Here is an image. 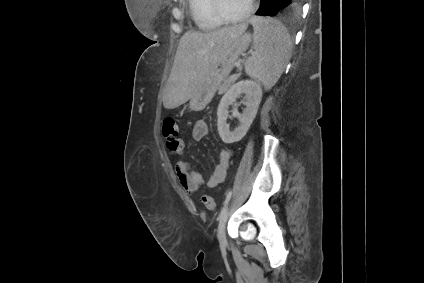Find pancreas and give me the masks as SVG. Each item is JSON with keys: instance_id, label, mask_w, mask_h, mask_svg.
<instances>
[{"instance_id": "cf45deb5", "label": "pancreas", "mask_w": 424, "mask_h": 283, "mask_svg": "<svg viewBox=\"0 0 424 283\" xmlns=\"http://www.w3.org/2000/svg\"><path fill=\"white\" fill-rule=\"evenodd\" d=\"M240 77V73L231 75L224 80V82L218 88V94L221 95L225 93L229 87Z\"/></svg>"}]
</instances>
